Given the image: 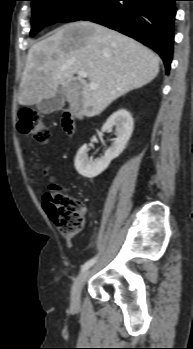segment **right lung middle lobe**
I'll use <instances>...</instances> for the list:
<instances>
[{
	"label": "right lung middle lobe",
	"mask_w": 193,
	"mask_h": 349,
	"mask_svg": "<svg viewBox=\"0 0 193 349\" xmlns=\"http://www.w3.org/2000/svg\"><path fill=\"white\" fill-rule=\"evenodd\" d=\"M32 29L34 36L45 26L57 22H73L94 9L101 0H31Z\"/></svg>",
	"instance_id": "1"
}]
</instances>
